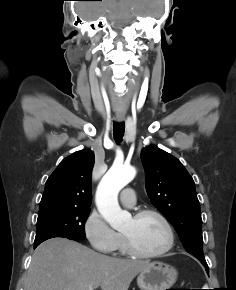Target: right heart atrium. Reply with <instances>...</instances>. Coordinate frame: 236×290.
I'll list each match as a JSON object with an SVG mask.
<instances>
[{
  "label": "right heart atrium",
  "mask_w": 236,
  "mask_h": 290,
  "mask_svg": "<svg viewBox=\"0 0 236 290\" xmlns=\"http://www.w3.org/2000/svg\"><path fill=\"white\" fill-rule=\"evenodd\" d=\"M83 230L91 247L100 253L114 252L122 239L96 210H92L86 217Z\"/></svg>",
  "instance_id": "right-heart-atrium-1"
}]
</instances>
